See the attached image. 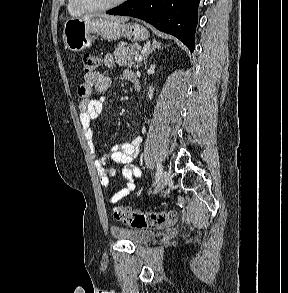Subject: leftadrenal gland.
<instances>
[{
  "mask_svg": "<svg viewBox=\"0 0 288 293\" xmlns=\"http://www.w3.org/2000/svg\"><path fill=\"white\" fill-rule=\"evenodd\" d=\"M161 46H160V43L157 42L156 40H153L152 42V45L151 47L150 46H147V51H146V54H145V57H144V63L146 64L147 62V59L149 57V55L155 51L156 49H159Z\"/></svg>",
  "mask_w": 288,
  "mask_h": 293,
  "instance_id": "a2214340",
  "label": "left adrenal gland"
}]
</instances>
